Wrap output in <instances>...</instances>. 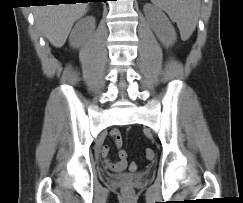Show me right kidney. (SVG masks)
Returning <instances> with one entry per match:
<instances>
[{"mask_svg":"<svg viewBox=\"0 0 243 203\" xmlns=\"http://www.w3.org/2000/svg\"><path fill=\"white\" fill-rule=\"evenodd\" d=\"M95 29V18L92 16L85 17L76 23L73 28L69 42L72 47H79L83 41L89 37Z\"/></svg>","mask_w":243,"mask_h":203,"instance_id":"ca27d5eb","label":"right kidney"}]
</instances>
